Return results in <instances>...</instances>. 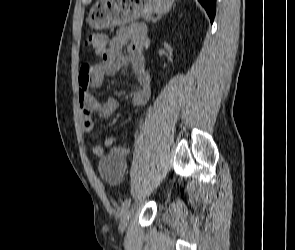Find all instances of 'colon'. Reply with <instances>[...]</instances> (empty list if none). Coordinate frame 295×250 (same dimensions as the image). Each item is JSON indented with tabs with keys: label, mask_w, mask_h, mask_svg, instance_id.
Wrapping results in <instances>:
<instances>
[{
	"label": "colon",
	"mask_w": 295,
	"mask_h": 250,
	"mask_svg": "<svg viewBox=\"0 0 295 250\" xmlns=\"http://www.w3.org/2000/svg\"><path fill=\"white\" fill-rule=\"evenodd\" d=\"M105 45V40L102 35L90 34L86 37L84 41V46L87 49L93 50L94 52L100 51Z\"/></svg>",
	"instance_id": "1"
}]
</instances>
